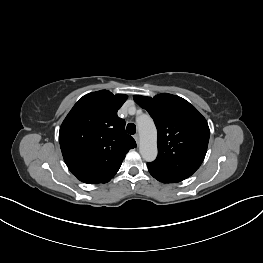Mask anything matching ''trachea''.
<instances>
[{
	"instance_id": "trachea-1",
	"label": "trachea",
	"mask_w": 263,
	"mask_h": 263,
	"mask_svg": "<svg viewBox=\"0 0 263 263\" xmlns=\"http://www.w3.org/2000/svg\"><path fill=\"white\" fill-rule=\"evenodd\" d=\"M126 130L129 134L133 135L136 133V126L134 123H129L126 127Z\"/></svg>"
}]
</instances>
